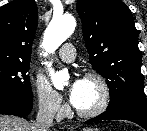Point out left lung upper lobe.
Listing matches in <instances>:
<instances>
[{"label":"left lung upper lobe","mask_w":147,"mask_h":131,"mask_svg":"<svg viewBox=\"0 0 147 131\" xmlns=\"http://www.w3.org/2000/svg\"><path fill=\"white\" fill-rule=\"evenodd\" d=\"M76 8L89 61L110 89L107 109L147 107L138 34L130 9L121 0H78Z\"/></svg>","instance_id":"1"}]
</instances>
